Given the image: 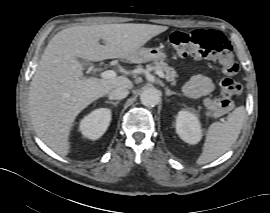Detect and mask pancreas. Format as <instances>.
<instances>
[{
	"label": "pancreas",
	"mask_w": 270,
	"mask_h": 213,
	"mask_svg": "<svg viewBox=\"0 0 270 213\" xmlns=\"http://www.w3.org/2000/svg\"><path fill=\"white\" fill-rule=\"evenodd\" d=\"M153 65L156 69L165 72V78L167 81L171 82V85L174 86L176 84V78L178 76L172 67L168 66V64L163 61H155Z\"/></svg>",
	"instance_id": "obj_1"
}]
</instances>
